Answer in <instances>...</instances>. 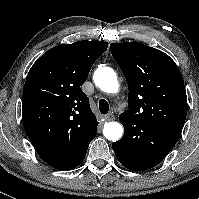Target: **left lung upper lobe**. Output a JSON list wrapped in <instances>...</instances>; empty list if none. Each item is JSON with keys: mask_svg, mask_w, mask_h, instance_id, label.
Segmentation results:
<instances>
[{"mask_svg": "<svg viewBox=\"0 0 199 199\" xmlns=\"http://www.w3.org/2000/svg\"><path fill=\"white\" fill-rule=\"evenodd\" d=\"M110 50L129 86V110L119 120L131 117L178 139L187 97L175 62L162 51L139 43H112Z\"/></svg>", "mask_w": 199, "mask_h": 199, "instance_id": "1", "label": "left lung upper lobe"}]
</instances>
